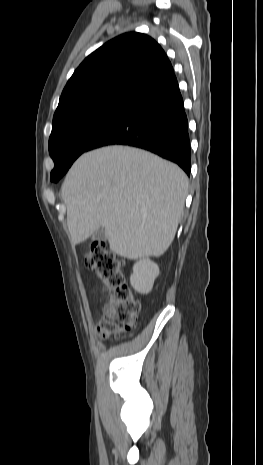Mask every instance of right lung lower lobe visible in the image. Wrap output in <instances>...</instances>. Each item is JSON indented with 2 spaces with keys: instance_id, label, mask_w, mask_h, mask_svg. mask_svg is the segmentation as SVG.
Masks as SVG:
<instances>
[{
  "instance_id": "1",
  "label": "right lung lower lobe",
  "mask_w": 263,
  "mask_h": 465,
  "mask_svg": "<svg viewBox=\"0 0 263 465\" xmlns=\"http://www.w3.org/2000/svg\"><path fill=\"white\" fill-rule=\"evenodd\" d=\"M111 144L149 150L175 162L190 175L188 121L174 74L138 94L89 150Z\"/></svg>"
}]
</instances>
